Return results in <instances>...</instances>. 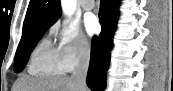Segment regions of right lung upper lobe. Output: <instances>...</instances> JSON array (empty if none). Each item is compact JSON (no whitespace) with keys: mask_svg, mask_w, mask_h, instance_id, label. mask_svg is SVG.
<instances>
[{"mask_svg":"<svg viewBox=\"0 0 173 91\" xmlns=\"http://www.w3.org/2000/svg\"><path fill=\"white\" fill-rule=\"evenodd\" d=\"M59 0H30L23 25V32L43 24L52 25L60 16Z\"/></svg>","mask_w":173,"mask_h":91,"instance_id":"right-lung-upper-lobe-1","label":"right lung upper lobe"}]
</instances>
